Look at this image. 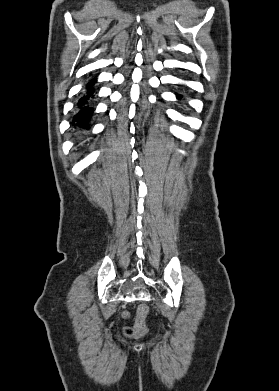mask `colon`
I'll return each mask as SVG.
<instances>
[{"instance_id": "colon-1", "label": "colon", "mask_w": 279, "mask_h": 391, "mask_svg": "<svg viewBox=\"0 0 279 391\" xmlns=\"http://www.w3.org/2000/svg\"><path fill=\"white\" fill-rule=\"evenodd\" d=\"M149 308L147 305L142 304L138 307L135 324L133 327H125L123 333L128 337H138L146 334L147 332V317Z\"/></svg>"}]
</instances>
